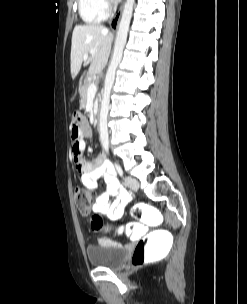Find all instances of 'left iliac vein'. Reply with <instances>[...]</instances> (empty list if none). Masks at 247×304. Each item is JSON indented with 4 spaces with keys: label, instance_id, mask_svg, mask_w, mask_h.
Masks as SVG:
<instances>
[{
    "label": "left iliac vein",
    "instance_id": "1",
    "mask_svg": "<svg viewBox=\"0 0 247 304\" xmlns=\"http://www.w3.org/2000/svg\"><path fill=\"white\" fill-rule=\"evenodd\" d=\"M124 180H125L126 185H127L131 190H133V191L138 190V188H139V182H138L137 179H135V178H133V177H131V176H126Z\"/></svg>",
    "mask_w": 247,
    "mask_h": 304
}]
</instances>
